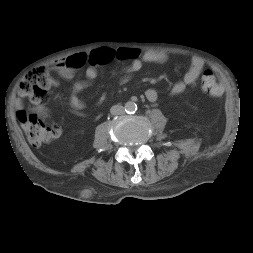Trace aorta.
<instances>
[{"mask_svg": "<svg viewBox=\"0 0 253 253\" xmlns=\"http://www.w3.org/2000/svg\"><path fill=\"white\" fill-rule=\"evenodd\" d=\"M124 109L125 112L128 114L135 113L137 110V104L133 101H128L125 103Z\"/></svg>", "mask_w": 253, "mask_h": 253, "instance_id": "aorta-1", "label": "aorta"}]
</instances>
